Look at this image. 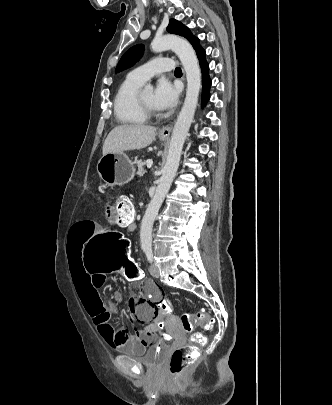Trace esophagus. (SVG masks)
<instances>
[{
    "instance_id": "obj_1",
    "label": "esophagus",
    "mask_w": 332,
    "mask_h": 405,
    "mask_svg": "<svg viewBox=\"0 0 332 405\" xmlns=\"http://www.w3.org/2000/svg\"><path fill=\"white\" fill-rule=\"evenodd\" d=\"M171 128H172V125H171V124L166 125V126H163V127L159 130V135H161V136H163V137H168V136L170 135Z\"/></svg>"
}]
</instances>
